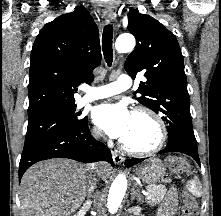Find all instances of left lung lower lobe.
<instances>
[{"instance_id":"1","label":"left lung lower lobe","mask_w":221,"mask_h":216,"mask_svg":"<svg viewBox=\"0 0 221 216\" xmlns=\"http://www.w3.org/2000/svg\"><path fill=\"white\" fill-rule=\"evenodd\" d=\"M168 152H181L186 155L191 156L199 165H200V160H199V155L197 151V146L184 143V142H178L175 144H167V146L159 152L160 153H168ZM145 158L142 159H127L125 161L126 167H130L134 164H137L141 161H143Z\"/></svg>"}]
</instances>
